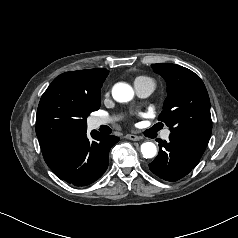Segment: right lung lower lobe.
<instances>
[{
    "label": "right lung lower lobe",
    "instance_id": "obj_1",
    "mask_svg": "<svg viewBox=\"0 0 238 238\" xmlns=\"http://www.w3.org/2000/svg\"><path fill=\"white\" fill-rule=\"evenodd\" d=\"M87 127L76 129L50 147L42 149L49 168L61 180L75 186H86L99 179L108 167V154L119 141L116 136L91 132Z\"/></svg>",
    "mask_w": 238,
    "mask_h": 238
}]
</instances>
